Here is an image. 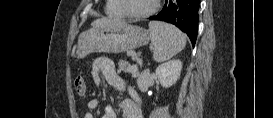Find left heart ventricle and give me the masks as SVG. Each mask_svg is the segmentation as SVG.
I'll use <instances>...</instances> for the list:
<instances>
[{"label":"left heart ventricle","instance_id":"1","mask_svg":"<svg viewBox=\"0 0 273 118\" xmlns=\"http://www.w3.org/2000/svg\"><path fill=\"white\" fill-rule=\"evenodd\" d=\"M127 8L131 12H143L150 9L154 0H126Z\"/></svg>","mask_w":273,"mask_h":118}]
</instances>
